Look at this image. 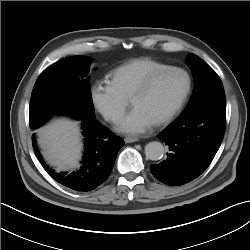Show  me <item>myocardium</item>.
<instances>
[{
  "label": "myocardium",
  "mask_w": 250,
  "mask_h": 250,
  "mask_svg": "<svg viewBox=\"0 0 250 250\" xmlns=\"http://www.w3.org/2000/svg\"><path fill=\"white\" fill-rule=\"evenodd\" d=\"M168 72H180V73H182L186 78V87H185V90H184L180 100L178 101V103L174 106V108L168 114H166L163 118H161L160 120H158L157 122L154 123L156 126H164V125H167L168 123H170L181 112V110L185 106V104L190 96L191 89H192V78H191L190 73L186 69H184L182 67H178V66H167V67L161 68L159 70L154 71L150 75H148L142 81V83L136 88V90L133 92V94L131 96V103H132V101L136 97L148 92L149 89L154 84V82L160 76H162L163 74L168 73Z\"/></svg>",
  "instance_id": "myocardium-1"
}]
</instances>
